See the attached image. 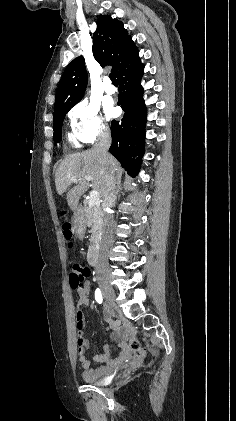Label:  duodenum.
I'll use <instances>...</instances> for the list:
<instances>
[{"instance_id":"obj_1","label":"duodenum","mask_w":236,"mask_h":421,"mask_svg":"<svg viewBox=\"0 0 236 421\" xmlns=\"http://www.w3.org/2000/svg\"><path fill=\"white\" fill-rule=\"evenodd\" d=\"M88 260L93 266H96L98 264V251L95 245H92L88 250ZM122 346L125 347L124 342H122ZM125 358L126 354L124 352L112 361L109 360V356L107 353L97 355L95 357V360H97L98 362H107L108 365L98 370H91L90 376L97 377L101 375L110 374L115 369V367L119 365Z\"/></svg>"}]
</instances>
